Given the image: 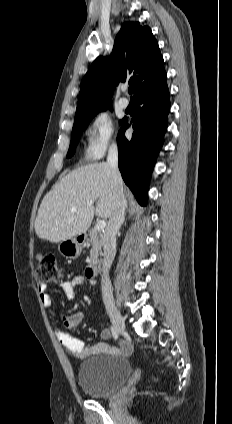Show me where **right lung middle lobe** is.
<instances>
[{
  "mask_svg": "<svg viewBox=\"0 0 232 424\" xmlns=\"http://www.w3.org/2000/svg\"><path fill=\"white\" fill-rule=\"evenodd\" d=\"M102 109L99 110L87 117H83L80 119L75 120L74 125H73V129H72V135H71V142H70V146H69V150L67 153V158H70L71 156L74 155L75 153V149H76V145L77 142L79 140L80 134L81 132L88 126V124L90 123V121L92 120V118L100 111L106 110ZM123 120H121L120 122L122 123Z\"/></svg>",
  "mask_w": 232,
  "mask_h": 424,
  "instance_id": "dd1d6c3e",
  "label": "right lung middle lobe"
}]
</instances>
